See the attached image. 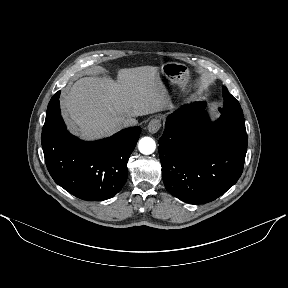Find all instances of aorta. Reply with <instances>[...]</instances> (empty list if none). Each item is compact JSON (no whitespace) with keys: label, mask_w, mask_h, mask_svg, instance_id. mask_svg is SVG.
Instances as JSON below:
<instances>
[{"label":"aorta","mask_w":288,"mask_h":288,"mask_svg":"<svg viewBox=\"0 0 288 288\" xmlns=\"http://www.w3.org/2000/svg\"><path fill=\"white\" fill-rule=\"evenodd\" d=\"M139 151L142 154L149 155L152 154L156 149L155 141L150 137H143L138 144Z\"/></svg>","instance_id":"obj_1"}]
</instances>
